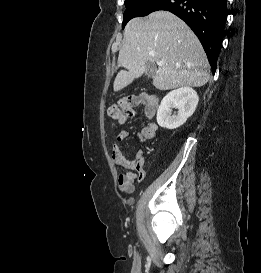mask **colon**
I'll use <instances>...</instances> for the list:
<instances>
[{"mask_svg":"<svg viewBox=\"0 0 261 273\" xmlns=\"http://www.w3.org/2000/svg\"><path fill=\"white\" fill-rule=\"evenodd\" d=\"M138 102V97L124 96L109 107V115L115 120L122 117H130L133 115V106Z\"/></svg>","mask_w":261,"mask_h":273,"instance_id":"1","label":"colon"}]
</instances>
